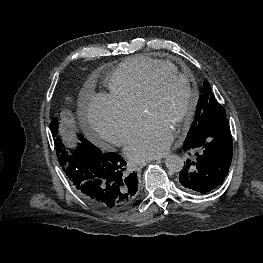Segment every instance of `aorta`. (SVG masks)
Masks as SVG:
<instances>
[{"mask_svg":"<svg viewBox=\"0 0 263 263\" xmlns=\"http://www.w3.org/2000/svg\"><path fill=\"white\" fill-rule=\"evenodd\" d=\"M165 165L170 172L177 173L183 169L184 161L178 155L173 154L166 157Z\"/></svg>","mask_w":263,"mask_h":263,"instance_id":"obj_1","label":"aorta"}]
</instances>
